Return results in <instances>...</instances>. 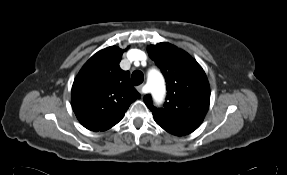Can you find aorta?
Here are the masks:
<instances>
[{
  "mask_svg": "<svg viewBox=\"0 0 287 175\" xmlns=\"http://www.w3.org/2000/svg\"><path fill=\"white\" fill-rule=\"evenodd\" d=\"M148 81L156 88L161 91L164 90V81L162 75L156 71L153 70L148 75Z\"/></svg>",
  "mask_w": 287,
  "mask_h": 175,
  "instance_id": "1",
  "label": "aorta"
}]
</instances>
